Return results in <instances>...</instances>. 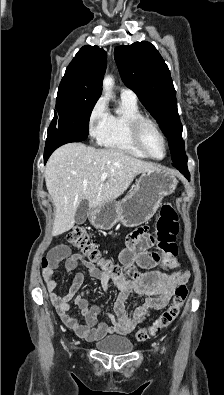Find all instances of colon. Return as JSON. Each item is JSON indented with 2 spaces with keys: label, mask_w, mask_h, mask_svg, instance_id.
I'll return each mask as SVG.
<instances>
[{
  "label": "colon",
  "mask_w": 224,
  "mask_h": 395,
  "mask_svg": "<svg viewBox=\"0 0 224 395\" xmlns=\"http://www.w3.org/2000/svg\"><path fill=\"white\" fill-rule=\"evenodd\" d=\"M179 231L178 216L172 204L166 203L161 207L160 215L156 224L158 249L163 256L165 267L171 268L172 257L177 254L175 243ZM68 242L79 249L87 260L99 265L106 273L119 278L120 269L114 263L104 257L91 239L89 232L81 227H76L68 232ZM46 264V261H43ZM188 295V288L185 284L177 286L172 302L150 325L138 329L135 338L138 341H146L150 336L155 335L160 330L168 327L179 315L180 309Z\"/></svg>",
  "instance_id": "colon-1"
}]
</instances>
